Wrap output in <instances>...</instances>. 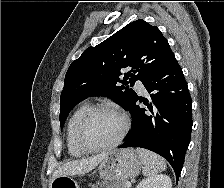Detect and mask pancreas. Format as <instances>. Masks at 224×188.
<instances>
[{
    "mask_svg": "<svg viewBox=\"0 0 224 188\" xmlns=\"http://www.w3.org/2000/svg\"><path fill=\"white\" fill-rule=\"evenodd\" d=\"M126 181L122 182H107V181H98L92 185L91 188H126Z\"/></svg>",
    "mask_w": 224,
    "mask_h": 188,
    "instance_id": "cf45deb5",
    "label": "pancreas"
}]
</instances>
